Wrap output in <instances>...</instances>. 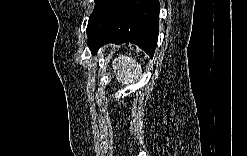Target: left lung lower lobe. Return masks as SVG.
<instances>
[{
  "label": "left lung lower lobe",
  "instance_id": "left-lung-lower-lobe-1",
  "mask_svg": "<svg viewBox=\"0 0 247 156\" xmlns=\"http://www.w3.org/2000/svg\"><path fill=\"white\" fill-rule=\"evenodd\" d=\"M158 0H104L87 28L92 53L106 43L130 42L151 57L159 33Z\"/></svg>",
  "mask_w": 247,
  "mask_h": 156
}]
</instances>
